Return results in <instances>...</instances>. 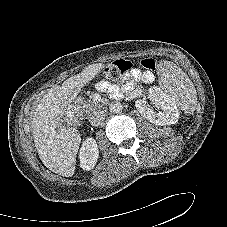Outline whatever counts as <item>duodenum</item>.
<instances>
[{
    "mask_svg": "<svg viewBox=\"0 0 227 227\" xmlns=\"http://www.w3.org/2000/svg\"><path fill=\"white\" fill-rule=\"evenodd\" d=\"M70 121L74 124V125H76V126H79V125H81V123H82V121H81V119L79 118V116L75 113V112H71L70 113Z\"/></svg>",
    "mask_w": 227,
    "mask_h": 227,
    "instance_id": "duodenum-1",
    "label": "duodenum"
}]
</instances>
